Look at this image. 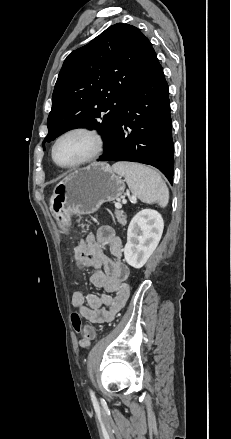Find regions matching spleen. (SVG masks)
<instances>
[{"label": "spleen", "instance_id": "3e777b00", "mask_svg": "<svg viewBox=\"0 0 231 439\" xmlns=\"http://www.w3.org/2000/svg\"><path fill=\"white\" fill-rule=\"evenodd\" d=\"M113 170L123 176L134 196L144 203H158L166 207L169 190L155 170L136 163H115Z\"/></svg>", "mask_w": 231, "mask_h": 439}]
</instances>
